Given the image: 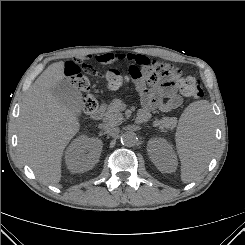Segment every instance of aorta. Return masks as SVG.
Returning a JSON list of instances; mask_svg holds the SVG:
<instances>
[{"instance_id": "aorta-1", "label": "aorta", "mask_w": 245, "mask_h": 245, "mask_svg": "<svg viewBox=\"0 0 245 245\" xmlns=\"http://www.w3.org/2000/svg\"><path fill=\"white\" fill-rule=\"evenodd\" d=\"M137 139L138 138H137L136 133H134L132 131L124 132L120 137L121 143L125 146L135 145L137 142Z\"/></svg>"}]
</instances>
